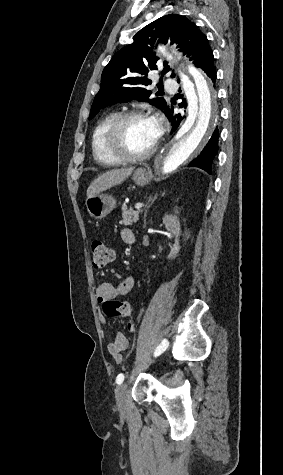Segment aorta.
I'll use <instances>...</instances> for the list:
<instances>
[{"instance_id": "1", "label": "aorta", "mask_w": 283, "mask_h": 475, "mask_svg": "<svg viewBox=\"0 0 283 475\" xmlns=\"http://www.w3.org/2000/svg\"><path fill=\"white\" fill-rule=\"evenodd\" d=\"M159 52L166 55V48L160 46ZM188 71L194 82L181 74L188 115L176 135L155 158L154 168L161 175L174 172L198 155L218 118L215 90L210 80L193 65H188Z\"/></svg>"}]
</instances>
